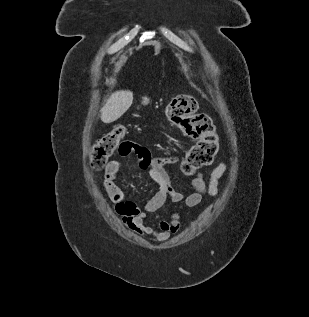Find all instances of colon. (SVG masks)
Returning <instances> with one entry per match:
<instances>
[{
	"mask_svg": "<svg viewBox=\"0 0 309 317\" xmlns=\"http://www.w3.org/2000/svg\"><path fill=\"white\" fill-rule=\"evenodd\" d=\"M197 109L196 99L186 94L174 97L166 108L168 119L196 140L181 163V170L186 175H193L198 169L210 165L218 152L215 127L207 115L196 113ZM125 132V127L119 125L93 144L89 160L92 169H102L117 148L122 153L132 149L137 151L132 143L122 142Z\"/></svg>",
	"mask_w": 309,
	"mask_h": 317,
	"instance_id": "1",
	"label": "colon"
}]
</instances>
